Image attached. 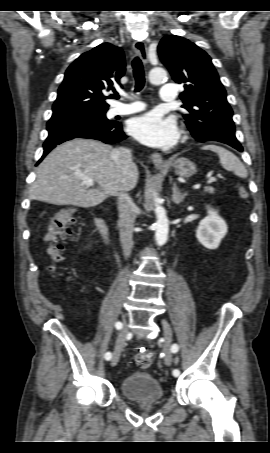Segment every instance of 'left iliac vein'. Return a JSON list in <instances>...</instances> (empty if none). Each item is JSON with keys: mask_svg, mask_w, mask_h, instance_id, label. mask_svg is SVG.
Wrapping results in <instances>:
<instances>
[{"mask_svg": "<svg viewBox=\"0 0 270 453\" xmlns=\"http://www.w3.org/2000/svg\"><path fill=\"white\" fill-rule=\"evenodd\" d=\"M162 327H163V352L165 356V363L170 365L172 362V354H171V344H172V328L170 324L166 320H162Z\"/></svg>", "mask_w": 270, "mask_h": 453, "instance_id": "left-iliac-vein-1", "label": "left iliac vein"}]
</instances>
